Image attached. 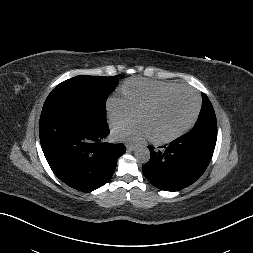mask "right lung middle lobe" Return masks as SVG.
<instances>
[{"label":"right lung middle lobe","mask_w":253,"mask_h":253,"mask_svg":"<svg viewBox=\"0 0 253 253\" xmlns=\"http://www.w3.org/2000/svg\"><path fill=\"white\" fill-rule=\"evenodd\" d=\"M118 76H76L63 81L48 95L43 109L58 105H72L89 109L105 117V105L109 93L118 84Z\"/></svg>","instance_id":"1"}]
</instances>
